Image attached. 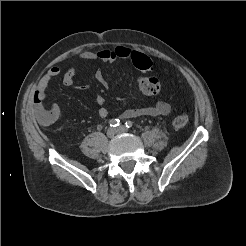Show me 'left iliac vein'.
<instances>
[{"label": "left iliac vein", "instance_id": "4c4485c4", "mask_svg": "<svg viewBox=\"0 0 246 246\" xmlns=\"http://www.w3.org/2000/svg\"><path fill=\"white\" fill-rule=\"evenodd\" d=\"M116 131H117V133H125V132H127V129L124 126H120L116 129Z\"/></svg>", "mask_w": 246, "mask_h": 246}]
</instances>
